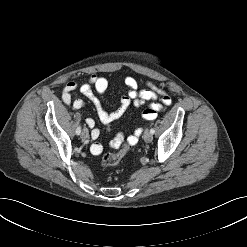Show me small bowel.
I'll return each mask as SVG.
<instances>
[{"mask_svg": "<svg viewBox=\"0 0 247 247\" xmlns=\"http://www.w3.org/2000/svg\"><path fill=\"white\" fill-rule=\"evenodd\" d=\"M125 94L120 100L118 108L113 112H107L98 97L103 95L108 89V80L105 77L97 74H92L86 82L78 84L74 81H70L65 84L62 89L61 97L63 102L72 106L74 109L79 110L84 107V101L82 99H73L72 93L75 90H79L94 104L99 120L110 126L111 123L119 120L127 111L130 106L140 107L148 103V106L143 110L142 117L145 120H153L164 106H169L172 103V99L169 94L161 87L155 85L152 82H147L146 88L139 90L138 83L133 77H126L125 79ZM86 125L91 130V137L96 140L101 135V130L96 126L94 118H87ZM141 129H136L134 134L130 137V141L137 143L138 136ZM122 139V134L116 135L113 144ZM94 153L98 154L102 150V145L94 143L92 145Z\"/></svg>", "mask_w": 247, "mask_h": 247, "instance_id": "obj_1", "label": "small bowel"}]
</instances>
